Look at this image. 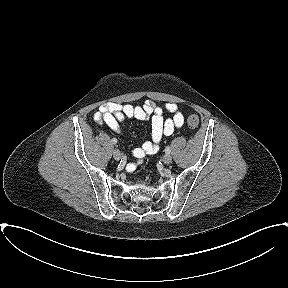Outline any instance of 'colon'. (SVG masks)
I'll use <instances>...</instances> for the list:
<instances>
[{"label": "colon", "instance_id": "5ec220e1", "mask_svg": "<svg viewBox=\"0 0 288 288\" xmlns=\"http://www.w3.org/2000/svg\"><path fill=\"white\" fill-rule=\"evenodd\" d=\"M187 124L191 129H195L199 125V118L196 114H189L187 116Z\"/></svg>", "mask_w": 288, "mask_h": 288}]
</instances>
